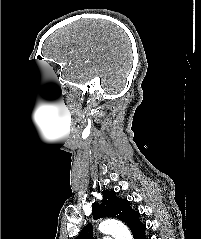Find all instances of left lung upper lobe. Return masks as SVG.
Instances as JSON below:
<instances>
[{
	"instance_id": "left-lung-upper-lobe-1",
	"label": "left lung upper lobe",
	"mask_w": 201,
	"mask_h": 239,
	"mask_svg": "<svg viewBox=\"0 0 201 239\" xmlns=\"http://www.w3.org/2000/svg\"><path fill=\"white\" fill-rule=\"evenodd\" d=\"M101 204H92V215L94 219L102 217H117L132 230L140 224V213L131 208L127 199H121L113 191L104 190ZM75 239H93V228L87 224Z\"/></svg>"
}]
</instances>
